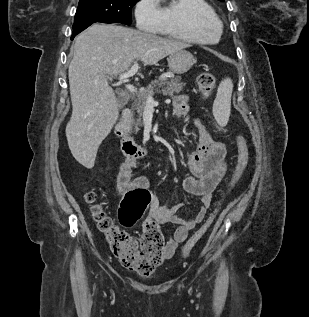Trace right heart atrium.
<instances>
[{
	"mask_svg": "<svg viewBox=\"0 0 309 317\" xmlns=\"http://www.w3.org/2000/svg\"><path fill=\"white\" fill-rule=\"evenodd\" d=\"M134 16L141 30L156 31L162 22L159 0H138L134 6Z\"/></svg>",
	"mask_w": 309,
	"mask_h": 317,
	"instance_id": "obj_1",
	"label": "right heart atrium"
}]
</instances>
